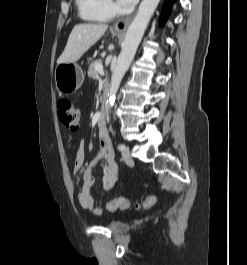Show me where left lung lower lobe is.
I'll use <instances>...</instances> for the list:
<instances>
[{
	"instance_id": "1",
	"label": "left lung lower lobe",
	"mask_w": 247,
	"mask_h": 265,
	"mask_svg": "<svg viewBox=\"0 0 247 265\" xmlns=\"http://www.w3.org/2000/svg\"><path fill=\"white\" fill-rule=\"evenodd\" d=\"M175 0H165L164 6L162 8V13H161V20L164 21L166 17L170 13L171 6Z\"/></svg>"
}]
</instances>
